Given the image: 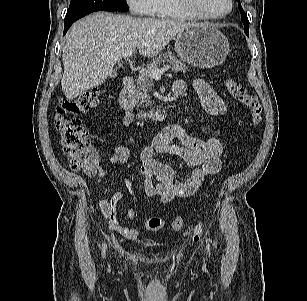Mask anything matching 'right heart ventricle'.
I'll return each mask as SVG.
<instances>
[{
    "label": "right heart ventricle",
    "mask_w": 307,
    "mask_h": 301,
    "mask_svg": "<svg viewBox=\"0 0 307 301\" xmlns=\"http://www.w3.org/2000/svg\"><path fill=\"white\" fill-rule=\"evenodd\" d=\"M151 16L158 19H196L180 9L174 0H155V9Z\"/></svg>",
    "instance_id": "right-heart-ventricle-1"
}]
</instances>
